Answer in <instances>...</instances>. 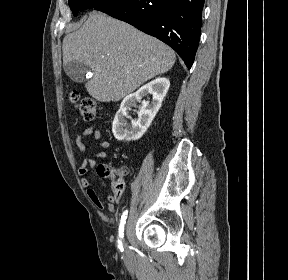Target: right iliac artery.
Instances as JSON below:
<instances>
[{
	"label": "right iliac artery",
	"instance_id": "obj_1",
	"mask_svg": "<svg viewBox=\"0 0 288 280\" xmlns=\"http://www.w3.org/2000/svg\"><path fill=\"white\" fill-rule=\"evenodd\" d=\"M128 211H124L123 215L121 216L120 225H119V234H118V246L121 251H123V244L122 240L124 237V226L127 219Z\"/></svg>",
	"mask_w": 288,
	"mask_h": 280
}]
</instances>
